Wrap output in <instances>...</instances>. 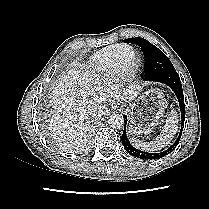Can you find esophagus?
<instances>
[{
    "instance_id": "1",
    "label": "esophagus",
    "mask_w": 209,
    "mask_h": 209,
    "mask_svg": "<svg viewBox=\"0 0 209 209\" xmlns=\"http://www.w3.org/2000/svg\"><path fill=\"white\" fill-rule=\"evenodd\" d=\"M114 110H118L119 109V106L118 104H114V106L112 107Z\"/></svg>"
}]
</instances>
